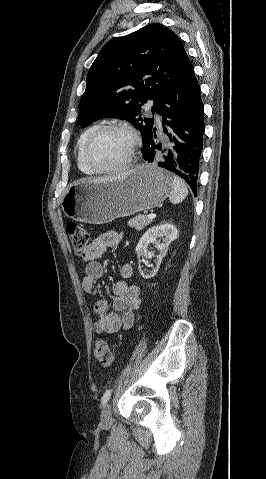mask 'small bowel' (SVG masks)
I'll return each mask as SVG.
<instances>
[{"label": "small bowel", "instance_id": "1", "mask_svg": "<svg viewBox=\"0 0 266 479\" xmlns=\"http://www.w3.org/2000/svg\"><path fill=\"white\" fill-rule=\"evenodd\" d=\"M122 239L121 233L108 231L97 235L88 245L82 255L86 261L85 276L82 279V288L85 292H96L97 281L104 275V268L98 259L105 254L108 248L118 247ZM119 272L122 279L114 283L113 311H109V302L105 298H100L94 303V312L97 315L94 326L100 334H111L122 329H130L135 322V313L141 304L139 288L129 285L125 281L133 274L132 265L122 263Z\"/></svg>", "mask_w": 266, "mask_h": 479}]
</instances>
